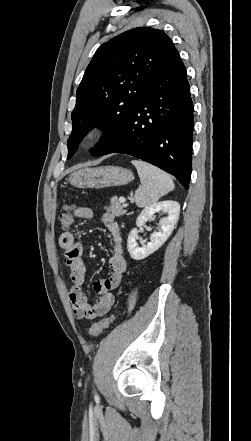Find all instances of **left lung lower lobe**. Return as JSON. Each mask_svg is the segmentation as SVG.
<instances>
[{
    "label": "left lung lower lobe",
    "instance_id": "1",
    "mask_svg": "<svg viewBox=\"0 0 251 441\" xmlns=\"http://www.w3.org/2000/svg\"><path fill=\"white\" fill-rule=\"evenodd\" d=\"M147 88V95L123 124L104 129V137L91 155H132L174 175L188 189L193 102L186 69L177 50Z\"/></svg>",
    "mask_w": 251,
    "mask_h": 441
}]
</instances>
